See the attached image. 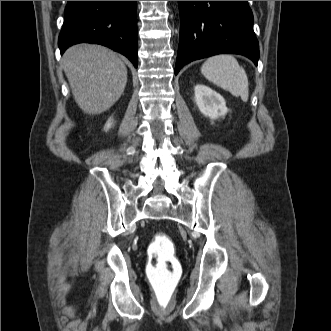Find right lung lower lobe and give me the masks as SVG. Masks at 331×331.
Wrapping results in <instances>:
<instances>
[{
    "mask_svg": "<svg viewBox=\"0 0 331 331\" xmlns=\"http://www.w3.org/2000/svg\"><path fill=\"white\" fill-rule=\"evenodd\" d=\"M137 1H68L59 35L61 54L77 43H96L125 55L135 67Z\"/></svg>",
    "mask_w": 331,
    "mask_h": 331,
    "instance_id": "obj_1",
    "label": "right lung lower lobe"
}]
</instances>
